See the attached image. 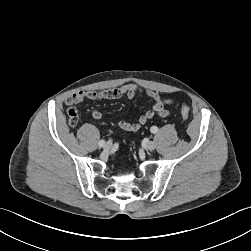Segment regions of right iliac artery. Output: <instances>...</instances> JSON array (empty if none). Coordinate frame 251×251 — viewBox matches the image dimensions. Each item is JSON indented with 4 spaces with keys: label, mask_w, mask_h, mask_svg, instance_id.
I'll return each mask as SVG.
<instances>
[{
    "label": "right iliac artery",
    "mask_w": 251,
    "mask_h": 251,
    "mask_svg": "<svg viewBox=\"0 0 251 251\" xmlns=\"http://www.w3.org/2000/svg\"><path fill=\"white\" fill-rule=\"evenodd\" d=\"M98 145H99L100 147H103V146L105 145V141H104V140H100V141L98 142Z\"/></svg>",
    "instance_id": "1"
}]
</instances>
